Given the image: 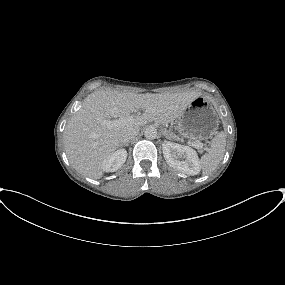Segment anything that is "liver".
<instances>
[{
    "label": "liver",
    "instance_id": "obj_1",
    "mask_svg": "<svg viewBox=\"0 0 285 285\" xmlns=\"http://www.w3.org/2000/svg\"><path fill=\"white\" fill-rule=\"evenodd\" d=\"M201 93L136 94L100 90L89 94L81 108L71 117L64 130V148L71 165L80 174L92 179L103 176L102 164L119 146L124 130L139 132L141 126L158 121L168 124L178 119L185 108ZM142 115L120 126L107 127L104 120Z\"/></svg>",
    "mask_w": 285,
    "mask_h": 285
}]
</instances>
